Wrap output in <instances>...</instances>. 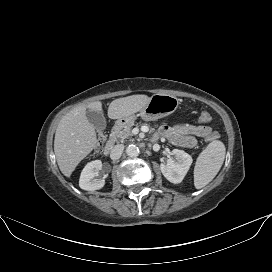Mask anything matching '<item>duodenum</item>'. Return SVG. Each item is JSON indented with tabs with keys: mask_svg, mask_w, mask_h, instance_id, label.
Listing matches in <instances>:
<instances>
[{
	"mask_svg": "<svg viewBox=\"0 0 272 272\" xmlns=\"http://www.w3.org/2000/svg\"><path fill=\"white\" fill-rule=\"evenodd\" d=\"M123 127V121L118 120L116 121L114 127H113V131L112 134L110 135L108 141L106 142L104 149H103V153L105 155H108L111 150L113 149L115 142H116V137H117V133L121 130V128Z\"/></svg>",
	"mask_w": 272,
	"mask_h": 272,
	"instance_id": "duodenum-1",
	"label": "duodenum"
}]
</instances>
